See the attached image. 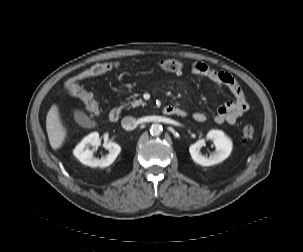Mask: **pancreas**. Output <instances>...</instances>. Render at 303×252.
Instances as JSON below:
<instances>
[{
	"label": "pancreas",
	"instance_id": "1",
	"mask_svg": "<svg viewBox=\"0 0 303 252\" xmlns=\"http://www.w3.org/2000/svg\"><path fill=\"white\" fill-rule=\"evenodd\" d=\"M139 105H143V101H142L141 99L130 101V102H128V104H127V106H129V108H130V107H137V106H139Z\"/></svg>",
	"mask_w": 303,
	"mask_h": 252
}]
</instances>
